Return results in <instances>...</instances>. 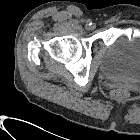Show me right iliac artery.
Here are the masks:
<instances>
[{
  "label": "right iliac artery",
  "mask_w": 140,
  "mask_h": 140,
  "mask_svg": "<svg viewBox=\"0 0 140 140\" xmlns=\"http://www.w3.org/2000/svg\"><path fill=\"white\" fill-rule=\"evenodd\" d=\"M91 24H92L91 20H87V25H91Z\"/></svg>",
  "instance_id": "right-iliac-artery-1"
}]
</instances>
